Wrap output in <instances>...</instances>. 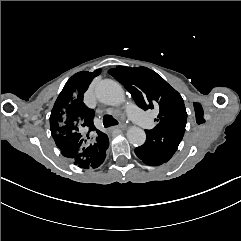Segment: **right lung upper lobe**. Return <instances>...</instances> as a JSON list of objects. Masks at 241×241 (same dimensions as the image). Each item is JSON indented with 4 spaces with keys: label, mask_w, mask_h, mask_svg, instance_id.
Here are the masks:
<instances>
[{
    "label": "right lung upper lobe",
    "mask_w": 241,
    "mask_h": 241,
    "mask_svg": "<svg viewBox=\"0 0 241 241\" xmlns=\"http://www.w3.org/2000/svg\"><path fill=\"white\" fill-rule=\"evenodd\" d=\"M100 72L98 69L73 75L65 84L51 111L52 137L62 155L72 161H77L82 156V151L95 148L94 144L107 136L96 129L93 124L94 111L83 103V94Z\"/></svg>",
    "instance_id": "obj_1"
}]
</instances>
